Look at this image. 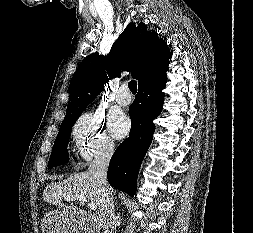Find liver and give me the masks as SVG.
Returning <instances> with one entry per match:
<instances>
[{"label":"liver","instance_id":"obj_1","mask_svg":"<svg viewBox=\"0 0 253 233\" xmlns=\"http://www.w3.org/2000/svg\"><path fill=\"white\" fill-rule=\"evenodd\" d=\"M68 195H82L90 203L99 207L100 194L96 179L92 174L80 172L68 179L52 182L43 191V200L49 204H61L62 198Z\"/></svg>","mask_w":253,"mask_h":233}]
</instances>
